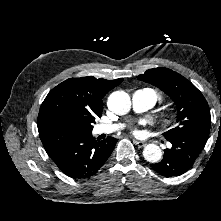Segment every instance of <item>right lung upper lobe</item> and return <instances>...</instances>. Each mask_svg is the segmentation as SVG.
<instances>
[{"mask_svg":"<svg viewBox=\"0 0 221 221\" xmlns=\"http://www.w3.org/2000/svg\"><path fill=\"white\" fill-rule=\"evenodd\" d=\"M123 78L116 80L82 77L68 79L53 88L43 101L37 126H60L66 120L101 117L102 98Z\"/></svg>","mask_w":221,"mask_h":221,"instance_id":"1","label":"right lung upper lobe"}]
</instances>
